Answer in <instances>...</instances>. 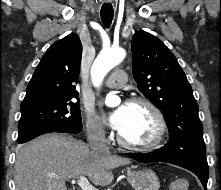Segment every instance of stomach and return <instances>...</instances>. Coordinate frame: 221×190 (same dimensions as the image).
Instances as JSON below:
<instances>
[{
	"label": "stomach",
	"mask_w": 221,
	"mask_h": 190,
	"mask_svg": "<svg viewBox=\"0 0 221 190\" xmlns=\"http://www.w3.org/2000/svg\"><path fill=\"white\" fill-rule=\"evenodd\" d=\"M127 179L134 190H159L160 187L156 173L150 169L129 170Z\"/></svg>",
	"instance_id": "stomach-1"
}]
</instances>
